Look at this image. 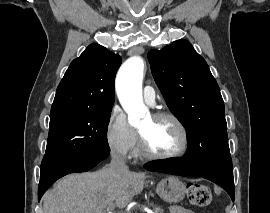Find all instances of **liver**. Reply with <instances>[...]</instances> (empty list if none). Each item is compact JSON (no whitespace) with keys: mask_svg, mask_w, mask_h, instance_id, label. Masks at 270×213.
Masks as SVG:
<instances>
[{"mask_svg":"<svg viewBox=\"0 0 270 213\" xmlns=\"http://www.w3.org/2000/svg\"><path fill=\"white\" fill-rule=\"evenodd\" d=\"M146 173L103 168L97 172L62 178L43 197V213H104L106 208H125L145 184Z\"/></svg>","mask_w":270,"mask_h":213,"instance_id":"6515ba94","label":"liver"}]
</instances>
